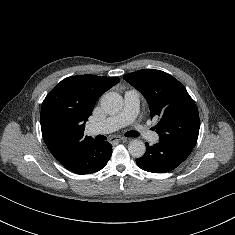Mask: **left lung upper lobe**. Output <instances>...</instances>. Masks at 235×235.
<instances>
[{"mask_svg":"<svg viewBox=\"0 0 235 235\" xmlns=\"http://www.w3.org/2000/svg\"><path fill=\"white\" fill-rule=\"evenodd\" d=\"M123 78L146 98L151 118H159L155 126L159 139L194 148L199 134L198 109L185 87L170 74L143 69Z\"/></svg>","mask_w":235,"mask_h":235,"instance_id":"1","label":"left lung upper lobe"}]
</instances>
